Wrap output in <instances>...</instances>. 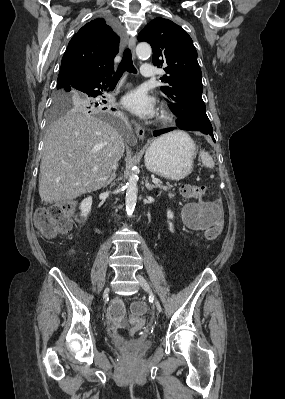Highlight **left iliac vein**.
<instances>
[{
	"label": "left iliac vein",
	"mask_w": 285,
	"mask_h": 399,
	"mask_svg": "<svg viewBox=\"0 0 285 399\" xmlns=\"http://www.w3.org/2000/svg\"><path fill=\"white\" fill-rule=\"evenodd\" d=\"M136 278L138 279V281H139L141 287H142L147 293L152 294L151 288H150L148 282L145 280V278H144L141 274H139V273L136 274ZM154 304H155V306H156L158 312H162V306H161V304L159 303V301L156 300V298H154Z\"/></svg>",
	"instance_id": "obj_1"
}]
</instances>
